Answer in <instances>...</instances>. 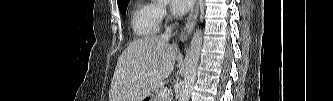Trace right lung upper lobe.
I'll list each match as a JSON object with an SVG mask.
<instances>
[{"label":"right lung upper lobe","instance_id":"1","mask_svg":"<svg viewBox=\"0 0 333 101\" xmlns=\"http://www.w3.org/2000/svg\"><path fill=\"white\" fill-rule=\"evenodd\" d=\"M124 1H126V0H117V3H118V4H121V3H123Z\"/></svg>","mask_w":333,"mask_h":101}]
</instances>
